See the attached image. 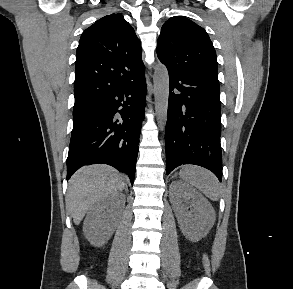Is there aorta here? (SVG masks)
<instances>
[{
	"label": "aorta",
	"instance_id": "762f6f07",
	"mask_svg": "<svg viewBox=\"0 0 293 289\" xmlns=\"http://www.w3.org/2000/svg\"><path fill=\"white\" fill-rule=\"evenodd\" d=\"M153 83L157 123L163 130L167 122L169 98V75L164 65H158L155 68Z\"/></svg>",
	"mask_w": 293,
	"mask_h": 289
}]
</instances>
